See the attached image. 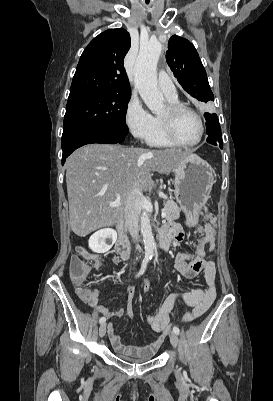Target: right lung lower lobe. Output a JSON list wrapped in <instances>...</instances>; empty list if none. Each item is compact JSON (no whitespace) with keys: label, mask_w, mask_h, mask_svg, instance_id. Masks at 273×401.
Masks as SVG:
<instances>
[{"label":"right lung lower lobe","mask_w":273,"mask_h":401,"mask_svg":"<svg viewBox=\"0 0 273 401\" xmlns=\"http://www.w3.org/2000/svg\"><path fill=\"white\" fill-rule=\"evenodd\" d=\"M127 135L118 132H108L91 127H72L62 134V165L65 159L77 148L91 143H122Z\"/></svg>","instance_id":"1"}]
</instances>
